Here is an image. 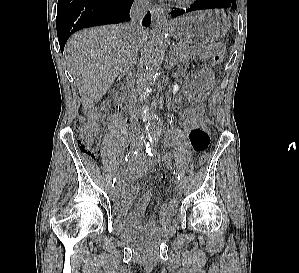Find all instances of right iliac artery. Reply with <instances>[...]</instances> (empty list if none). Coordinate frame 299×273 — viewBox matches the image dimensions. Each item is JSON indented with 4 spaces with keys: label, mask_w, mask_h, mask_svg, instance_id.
Segmentation results:
<instances>
[{
    "label": "right iliac artery",
    "mask_w": 299,
    "mask_h": 273,
    "mask_svg": "<svg viewBox=\"0 0 299 273\" xmlns=\"http://www.w3.org/2000/svg\"><path fill=\"white\" fill-rule=\"evenodd\" d=\"M137 157H138V151H131V152H129V153L126 155V157H125V161H126V162H130V161L136 159ZM115 182H116V177L113 178V184H112V187H114Z\"/></svg>",
    "instance_id": "right-iliac-artery-1"
}]
</instances>
